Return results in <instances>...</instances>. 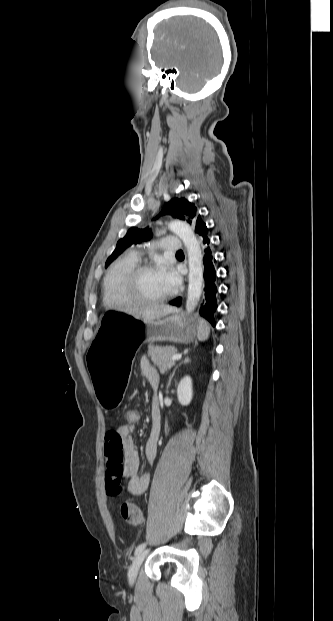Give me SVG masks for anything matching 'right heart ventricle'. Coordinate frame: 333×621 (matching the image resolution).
<instances>
[{
    "mask_svg": "<svg viewBox=\"0 0 333 621\" xmlns=\"http://www.w3.org/2000/svg\"><path fill=\"white\" fill-rule=\"evenodd\" d=\"M136 264L137 260L133 256H125L110 267L102 284V300L106 307H119L129 304L122 296L121 282Z\"/></svg>",
    "mask_w": 333,
    "mask_h": 621,
    "instance_id": "right-heart-ventricle-1",
    "label": "right heart ventricle"
}]
</instances>
